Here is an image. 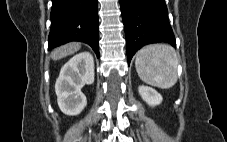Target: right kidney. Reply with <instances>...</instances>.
<instances>
[{
    "label": "right kidney",
    "instance_id": "1",
    "mask_svg": "<svg viewBox=\"0 0 227 142\" xmlns=\"http://www.w3.org/2000/svg\"><path fill=\"white\" fill-rule=\"evenodd\" d=\"M94 82V60L89 52L72 57L62 68L55 84L59 108L66 115L82 112L87 104L81 88Z\"/></svg>",
    "mask_w": 227,
    "mask_h": 142
}]
</instances>
